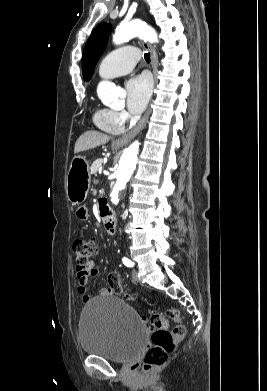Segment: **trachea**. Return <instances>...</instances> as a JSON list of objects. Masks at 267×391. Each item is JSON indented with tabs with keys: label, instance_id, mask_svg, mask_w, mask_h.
Returning a JSON list of instances; mask_svg holds the SVG:
<instances>
[{
	"label": "trachea",
	"instance_id": "3493384b",
	"mask_svg": "<svg viewBox=\"0 0 267 391\" xmlns=\"http://www.w3.org/2000/svg\"><path fill=\"white\" fill-rule=\"evenodd\" d=\"M144 58H145L146 62L149 63L150 62V53H145Z\"/></svg>",
	"mask_w": 267,
	"mask_h": 391
}]
</instances>
